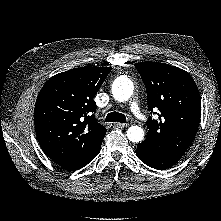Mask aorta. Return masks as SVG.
<instances>
[{"instance_id":"obj_1","label":"aorta","mask_w":221,"mask_h":221,"mask_svg":"<svg viewBox=\"0 0 221 221\" xmlns=\"http://www.w3.org/2000/svg\"><path fill=\"white\" fill-rule=\"evenodd\" d=\"M133 83L128 78H121L114 82L112 86V94L113 97L119 101L124 102L127 101L131 95L133 94ZM144 137V131L139 126H131L127 130V138L134 142L138 143L142 141Z\"/></svg>"}]
</instances>
